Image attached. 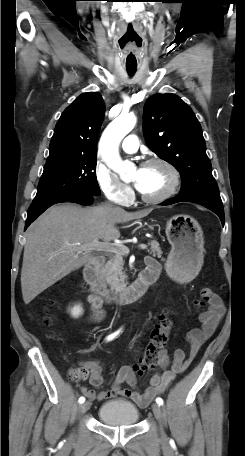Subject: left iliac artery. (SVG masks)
<instances>
[{"label": "left iliac artery", "mask_w": 245, "mask_h": 456, "mask_svg": "<svg viewBox=\"0 0 245 456\" xmlns=\"http://www.w3.org/2000/svg\"><path fill=\"white\" fill-rule=\"evenodd\" d=\"M156 403L159 405H163V399L160 397L156 398Z\"/></svg>", "instance_id": "obj_1"}]
</instances>
